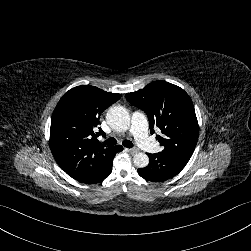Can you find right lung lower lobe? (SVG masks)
<instances>
[{
    "label": "right lung lower lobe",
    "mask_w": 251,
    "mask_h": 251,
    "mask_svg": "<svg viewBox=\"0 0 251 251\" xmlns=\"http://www.w3.org/2000/svg\"><path fill=\"white\" fill-rule=\"evenodd\" d=\"M115 150H116V153H118V152L122 151L123 148H122V146L119 145V146H115ZM112 161H113V159L110 161V163L108 164L106 169L102 173H100L97 177L93 178L89 182H84V183H98V182L102 181L103 179H105L107 176H109L112 171Z\"/></svg>",
    "instance_id": "right-lung-lower-lobe-1"
}]
</instances>
